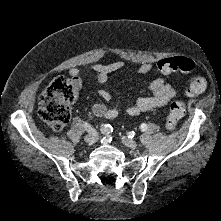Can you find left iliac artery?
<instances>
[{
    "label": "left iliac artery",
    "instance_id": "left-iliac-artery-1",
    "mask_svg": "<svg viewBox=\"0 0 221 221\" xmlns=\"http://www.w3.org/2000/svg\"><path fill=\"white\" fill-rule=\"evenodd\" d=\"M140 129L141 131H145L147 129V125L145 123H142Z\"/></svg>",
    "mask_w": 221,
    "mask_h": 221
}]
</instances>
